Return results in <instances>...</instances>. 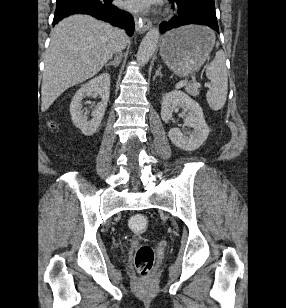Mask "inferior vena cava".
<instances>
[{"label":"inferior vena cava","instance_id":"obj_1","mask_svg":"<svg viewBox=\"0 0 286 308\" xmlns=\"http://www.w3.org/2000/svg\"><path fill=\"white\" fill-rule=\"evenodd\" d=\"M119 34H120L121 40L118 43V45L116 46V49H115L116 53H120L125 48L126 42H127V35H126L125 31L119 30Z\"/></svg>","mask_w":286,"mask_h":308}]
</instances>
